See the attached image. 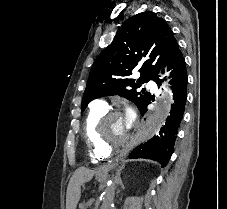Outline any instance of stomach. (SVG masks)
I'll return each mask as SVG.
<instances>
[{
    "label": "stomach",
    "instance_id": "0dacf381",
    "mask_svg": "<svg viewBox=\"0 0 227 209\" xmlns=\"http://www.w3.org/2000/svg\"><path fill=\"white\" fill-rule=\"evenodd\" d=\"M97 178H98L99 181H102L103 180V177L100 176V175H98Z\"/></svg>",
    "mask_w": 227,
    "mask_h": 209
}]
</instances>
